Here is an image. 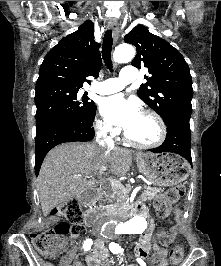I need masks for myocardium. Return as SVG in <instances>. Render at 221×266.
<instances>
[{"mask_svg": "<svg viewBox=\"0 0 221 266\" xmlns=\"http://www.w3.org/2000/svg\"><path fill=\"white\" fill-rule=\"evenodd\" d=\"M142 114L150 117L154 121L157 127V130H158L155 139L150 142H139V141L132 139L127 133V131H125L124 132L125 140L130 145L138 147V148H142V149H149V148L156 147L160 145L166 137V134H167L166 125L163 119L153 110L145 109L142 111Z\"/></svg>", "mask_w": 221, "mask_h": 266, "instance_id": "f54148a6", "label": "myocardium"}]
</instances>
